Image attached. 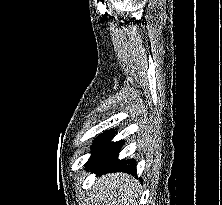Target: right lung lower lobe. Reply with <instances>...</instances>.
I'll use <instances>...</instances> for the list:
<instances>
[{
    "label": "right lung lower lobe",
    "instance_id": "98d812e1",
    "mask_svg": "<svg viewBox=\"0 0 222 205\" xmlns=\"http://www.w3.org/2000/svg\"><path fill=\"white\" fill-rule=\"evenodd\" d=\"M116 131H106L101 134L93 143L92 152L87 161L86 169L91 172L107 173V172H127L136 174L135 160H119L118 154L124 144L123 141L111 142Z\"/></svg>",
    "mask_w": 222,
    "mask_h": 205
}]
</instances>
